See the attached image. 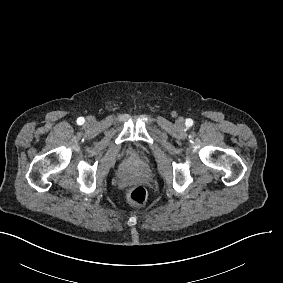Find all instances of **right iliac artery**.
<instances>
[{
  "instance_id": "right-iliac-artery-1",
  "label": "right iliac artery",
  "mask_w": 283,
  "mask_h": 283,
  "mask_svg": "<svg viewBox=\"0 0 283 283\" xmlns=\"http://www.w3.org/2000/svg\"><path fill=\"white\" fill-rule=\"evenodd\" d=\"M84 121H85V119H84L83 117H79V118L77 119V124H78V125H82V124L84 123Z\"/></svg>"
}]
</instances>
